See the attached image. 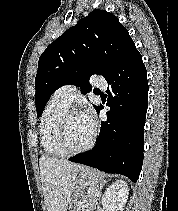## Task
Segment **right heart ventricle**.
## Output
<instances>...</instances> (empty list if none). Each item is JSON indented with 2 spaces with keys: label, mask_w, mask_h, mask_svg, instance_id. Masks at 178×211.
<instances>
[{
  "label": "right heart ventricle",
  "mask_w": 178,
  "mask_h": 211,
  "mask_svg": "<svg viewBox=\"0 0 178 211\" xmlns=\"http://www.w3.org/2000/svg\"><path fill=\"white\" fill-rule=\"evenodd\" d=\"M68 109L69 104L53 94L43 112L40 125L41 143L49 156H64L57 144V137L62 117Z\"/></svg>",
  "instance_id": "obj_1"
}]
</instances>
